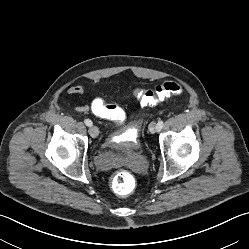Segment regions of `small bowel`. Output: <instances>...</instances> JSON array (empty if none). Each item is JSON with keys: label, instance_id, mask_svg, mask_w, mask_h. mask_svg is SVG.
Masks as SVG:
<instances>
[{"label": "small bowel", "instance_id": "1", "mask_svg": "<svg viewBox=\"0 0 249 249\" xmlns=\"http://www.w3.org/2000/svg\"><path fill=\"white\" fill-rule=\"evenodd\" d=\"M94 84L92 87L94 88ZM67 92L78 95L83 99V103L75 107L77 113H87L91 111L95 116L104 119L121 121L125 118L123 110L116 105L106 103L102 98H94L91 101L85 98V89L80 85H72L67 88ZM116 113L113 116L111 114Z\"/></svg>", "mask_w": 249, "mask_h": 249}]
</instances>
